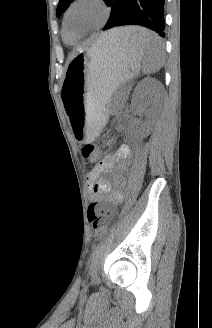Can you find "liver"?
<instances>
[{"mask_svg":"<svg viewBox=\"0 0 212 328\" xmlns=\"http://www.w3.org/2000/svg\"><path fill=\"white\" fill-rule=\"evenodd\" d=\"M132 30H133V27H123V28L113 29V30L108 31L107 33L102 34V36L99 39L103 40L105 38L116 37V38H119V39H122L125 41H130V36H131ZM80 51H82V50L78 49L74 53V56L77 54V52H80Z\"/></svg>","mask_w":212,"mask_h":328,"instance_id":"obj_1","label":"liver"}]
</instances>
